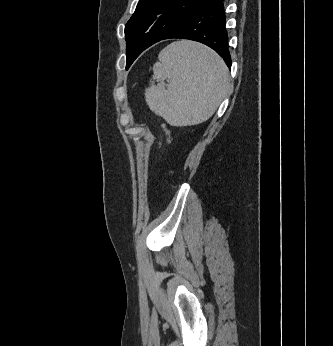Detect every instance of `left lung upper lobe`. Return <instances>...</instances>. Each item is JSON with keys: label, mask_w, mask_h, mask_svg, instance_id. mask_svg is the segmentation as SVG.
<instances>
[{"label": "left lung upper lobe", "mask_w": 333, "mask_h": 346, "mask_svg": "<svg viewBox=\"0 0 333 346\" xmlns=\"http://www.w3.org/2000/svg\"><path fill=\"white\" fill-rule=\"evenodd\" d=\"M207 0H140L125 25L128 68L142 51L160 41Z\"/></svg>", "instance_id": "5c2ea615"}]
</instances>
